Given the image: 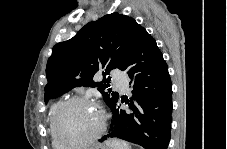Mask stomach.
Segmentation results:
<instances>
[{"mask_svg":"<svg viewBox=\"0 0 227 149\" xmlns=\"http://www.w3.org/2000/svg\"><path fill=\"white\" fill-rule=\"evenodd\" d=\"M95 149H108V147L104 145V146H100V147L95 148Z\"/></svg>","mask_w":227,"mask_h":149,"instance_id":"0dacf381","label":"stomach"}]
</instances>
